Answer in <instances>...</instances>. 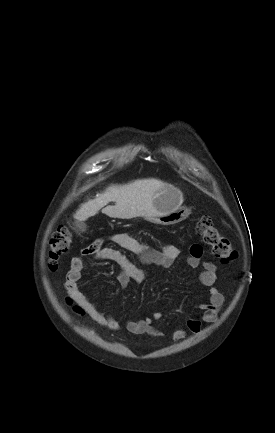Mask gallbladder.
Segmentation results:
<instances>
[{"mask_svg":"<svg viewBox=\"0 0 275 433\" xmlns=\"http://www.w3.org/2000/svg\"><path fill=\"white\" fill-rule=\"evenodd\" d=\"M75 225L79 230L81 231L85 230V225L82 222H75Z\"/></svg>","mask_w":275,"mask_h":433,"instance_id":"gallbladder-1","label":"gallbladder"}]
</instances>
